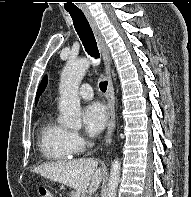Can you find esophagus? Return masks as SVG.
Wrapping results in <instances>:
<instances>
[{"label":"esophagus","instance_id":"obj_1","mask_svg":"<svg viewBox=\"0 0 191 197\" xmlns=\"http://www.w3.org/2000/svg\"><path fill=\"white\" fill-rule=\"evenodd\" d=\"M85 16L98 42V46L104 61L105 72L108 81L107 92H106L107 107H108V125L105 135V144L108 146L112 141V134L115 128V96H114V88L110 74V68H111L110 52L94 18L90 15V13L87 12L85 13Z\"/></svg>","mask_w":191,"mask_h":197}]
</instances>
